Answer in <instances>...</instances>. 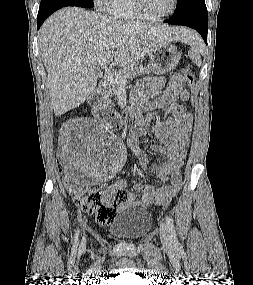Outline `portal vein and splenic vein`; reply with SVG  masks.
Masks as SVG:
<instances>
[{"label":"portal vein and splenic vein","instance_id":"portal-vein-and-splenic-vein-1","mask_svg":"<svg viewBox=\"0 0 253 285\" xmlns=\"http://www.w3.org/2000/svg\"><path fill=\"white\" fill-rule=\"evenodd\" d=\"M117 47H119V44H118V43H112V45H111L110 48L114 49V48H117ZM115 82H116V83H120V84H122V85H125V84H126V81L123 80V79H121V80L115 79Z\"/></svg>","mask_w":253,"mask_h":285}]
</instances>
